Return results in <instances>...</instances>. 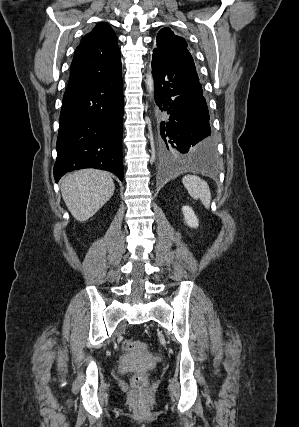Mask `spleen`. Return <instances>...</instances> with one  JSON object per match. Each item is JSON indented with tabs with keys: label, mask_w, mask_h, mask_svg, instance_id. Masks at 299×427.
Here are the masks:
<instances>
[{
	"label": "spleen",
	"mask_w": 299,
	"mask_h": 427,
	"mask_svg": "<svg viewBox=\"0 0 299 427\" xmlns=\"http://www.w3.org/2000/svg\"><path fill=\"white\" fill-rule=\"evenodd\" d=\"M182 183L191 197L200 199L207 209L210 207L211 192L207 182L199 176L186 175L182 178Z\"/></svg>",
	"instance_id": "3e777b00"
}]
</instances>
